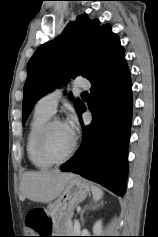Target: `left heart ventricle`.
Masks as SVG:
<instances>
[{
    "mask_svg": "<svg viewBox=\"0 0 158 237\" xmlns=\"http://www.w3.org/2000/svg\"><path fill=\"white\" fill-rule=\"evenodd\" d=\"M73 137L69 134L63 123L55 124L48 136V149L55 157H62L70 149Z\"/></svg>",
    "mask_w": 158,
    "mask_h": 237,
    "instance_id": "b2bd125f",
    "label": "left heart ventricle"
}]
</instances>
